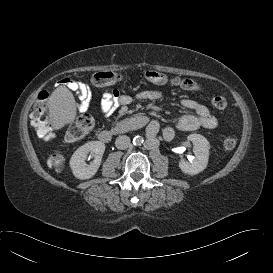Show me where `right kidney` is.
I'll list each match as a JSON object with an SVG mask.
<instances>
[{"mask_svg": "<svg viewBox=\"0 0 273 273\" xmlns=\"http://www.w3.org/2000/svg\"><path fill=\"white\" fill-rule=\"evenodd\" d=\"M104 151L105 144L101 141H90L80 146L70 159L73 175L80 180L93 177L99 169ZM89 153L94 160L87 164L86 157Z\"/></svg>", "mask_w": 273, "mask_h": 273, "instance_id": "obj_1", "label": "right kidney"}]
</instances>
